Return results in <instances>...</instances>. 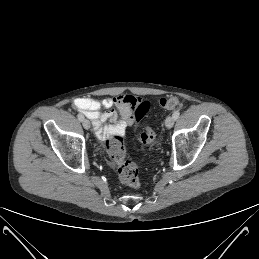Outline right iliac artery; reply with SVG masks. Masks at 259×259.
Here are the masks:
<instances>
[{
	"label": "right iliac artery",
	"instance_id": "82829eb1",
	"mask_svg": "<svg viewBox=\"0 0 259 259\" xmlns=\"http://www.w3.org/2000/svg\"><path fill=\"white\" fill-rule=\"evenodd\" d=\"M77 117H78L79 121H83L84 120V116L82 114H78Z\"/></svg>",
	"mask_w": 259,
	"mask_h": 259
}]
</instances>
